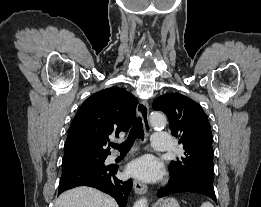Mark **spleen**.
Wrapping results in <instances>:
<instances>
[{
    "mask_svg": "<svg viewBox=\"0 0 261 207\" xmlns=\"http://www.w3.org/2000/svg\"><path fill=\"white\" fill-rule=\"evenodd\" d=\"M201 207H214L210 202H203Z\"/></svg>",
    "mask_w": 261,
    "mask_h": 207,
    "instance_id": "3e777b00",
    "label": "spleen"
}]
</instances>
